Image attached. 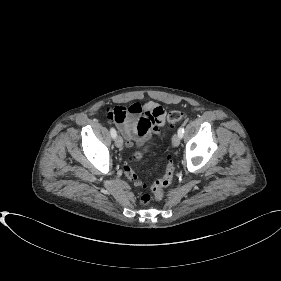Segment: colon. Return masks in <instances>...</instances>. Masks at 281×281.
<instances>
[{"label":"colon","mask_w":281,"mask_h":281,"mask_svg":"<svg viewBox=\"0 0 281 281\" xmlns=\"http://www.w3.org/2000/svg\"><path fill=\"white\" fill-rule=\"evenodd\" d=\"M138 104L139 103H135L130 107H124V106L115 107L114 109L109 110L108 112L109 118L114 122H121L125 119L128 113L136 112L138 110L137 109ZM183 118H184L183 112L174 110L169 113L168 122L171 125H175L180 123L183 120ZM148 149H149L148 146L139 149L126 161L124 165V173L131 182H133L136 186L141 187L143 189L149 188L152 192V195L145 193L141 196L140 203L142 205H147L148 203H150L151 200L161 201L164 197V189L172 183L174 172H175L174 164L172 160L168 158L166 171L163 177L155 180L150 185H147L145 182H143L139 178L136 170L133 168V163L142 159L145 153L148 151Z\"/></svg>","instance_id":"colon-1"}]
</instances>
